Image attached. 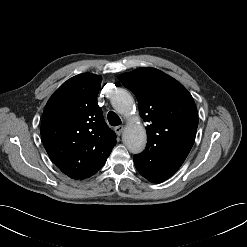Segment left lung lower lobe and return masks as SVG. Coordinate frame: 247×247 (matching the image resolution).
I'll use <instances>...</instances> for the list:
<instances>
[{
  "label": "left lung lower lobe",
  "mask_w": 247,
  "mask_h": 247,
  "mask_svg": "<svg viewBox=\"0 0 247 247\" xmlns=\"http://www.w3.org/2000/svg\"><path fill=\"white\" fill-rule=\"evenodd\" d=\"M188 153L175 150L170 153L150 152L134 155L138 172L154 183H161L171 177L182 165Z\"/></svg>",
  "instance_id": "0a47b994"
}]
</instances>
